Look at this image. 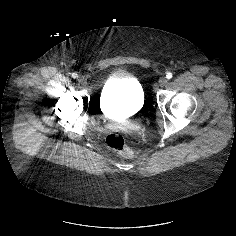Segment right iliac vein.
<instances>
[{
    "label": "right iliac vein",
    "instance_id": "1",
    "mask_svg": "<svg viewBox=\"0 0 236 236\" xmlns=\"http://www.w3.org/2000/svg\"><path fill=\"white\" fill-rule=\"evenodd\" d=\"M78 82L82 85H85L86 84V79L82 76L78 77Z\"/></svg>",
    "mask_w": 236,
    "mask_h": 236
}]
</instances>
